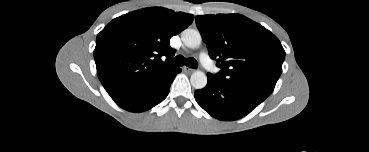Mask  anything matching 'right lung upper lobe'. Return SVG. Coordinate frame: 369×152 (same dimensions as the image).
I'll list each match as a JSON object with an SVG mask.
<instances>
[{"label": "right lung upper lobe", "instance_id": "obj_1", "mask_svg": "<svg viewBox=\"0 0 369 152\" xmlns=\"http://www.w3.org/2000/svg\"><path fill=\"white\" fill-rule=\"evenodd\" d=\"M193 15L162 7L140 9L112 20L98 35L97 75L113 97L152 81L175 67L160 64L175 54L169 40L187 28Z\"/></svg>", "mask_w": 369, "mask_h": 152}]
</instances>
